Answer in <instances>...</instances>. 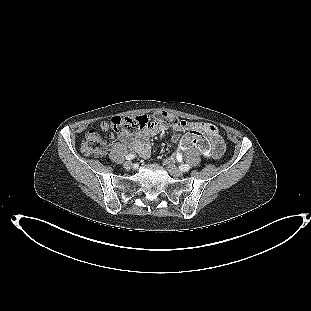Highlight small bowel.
Masks as SVG:
<instances>
[{
    "instance_id": "small-bowel-1",
    "label": "small bowel",
    "mask_w": 311,
    "mask_h": 311,
    "mask_svg": "<svg viewBox=\"0 0 311 311\" xmlns=\"http://www.w3.org/2000/svg\"><path fill=\"white\" fill-rule=\"evenodd\" d=\"M187 128L201 130L210 137L212 148L209 149L206 155L210 154V156H212L215 159H218L222 156L224 151V142L219 134L217 127L211 123L187 122L186 127L171 126V129L175 131V133L172 136V141L174 143L182 144L183 140H181L179 132ZM168 129L169 127L165 125L151 126L145 129L144 131L139 132L135 137H129L128 135H120L119 139L121 141L127 142L128 146L133 151L138 153L141 157L146 158L150 155L151 152L149 139L158 134L164 133Z\"/></svg>"
}]
</instances>
